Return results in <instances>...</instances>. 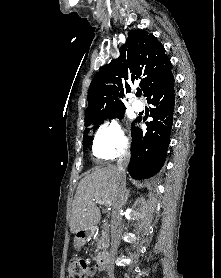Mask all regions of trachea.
Masks as SVG:
<instances>
[{"label": "trachea", "instance_id": "trachea-1", "mask_svg": "<svg viewBox=\"0 0 221 278\" xmlns=\"http://www.w3.org/2000/svg\"><path fill=\"white\" fill-rule=\"evenodd\" d=\"M141 95H142L141 90H137L136 96H137V97H140Z\"/></svg>", "mask_w": 221, "mask_h": 278}]
</instances>
